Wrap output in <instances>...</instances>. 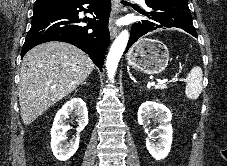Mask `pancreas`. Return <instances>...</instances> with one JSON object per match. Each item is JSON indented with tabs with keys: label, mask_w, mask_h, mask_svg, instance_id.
Listing matches in <instances>:
<instances>
[{
	"label": "pancreas",
	"mask_w": 227,
	"mask_h": 166,
	"mask_svg": "<svg viewBox=\"0 0 227 166\" xmlns=\"http://www.w3.org/2000/svg\"><path fill=\"white\" fill-rule=\"evenodd\" d=\"M167 87H166V85L165 84H161V85H156L155 86V89H161V90H163V89H166Z\"/></svg>",
	"instance_id": "cf45deb5"
}]
</instances>
